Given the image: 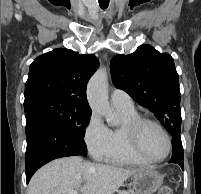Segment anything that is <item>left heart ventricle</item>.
I'll list each match as a JSON object with an SVG mask.
<instances>
[{"mask_svg": "<svg viewBox=\"0 0 201 194\" xmlns=\"http://www.w3.org/2000/svg\"><path fill=\"white\" fill-rule=\"evenodd\" d=\"M140 145L144 153L152 158L164 156L168 149V143L164 134L151 124H146L142 128Z\"/></svg>", "mask_w": 201, "mask_h": 194, "instance_id": "obj_1", "label": "left heart ventricle"}]
</instances>
